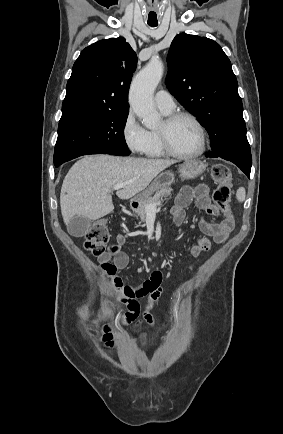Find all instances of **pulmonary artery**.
<instances>
[{
  "label": "pulmonary artery",
  "instance_id": "1",
  "mask_svg": "<svg viewBox=\"0 0 283 434\" xmlns=\"http://www.w3.org/2000/svg\"><path fill=\"white\" fill-rule=\"evenodd\" d=\"M154 101L156 106L165 112H171L175 109V102L173 97L166 90H159L156 92Z\"/></svg>",
  "mask_w": 283,
  "mask_h": 434
}]
</instances>
